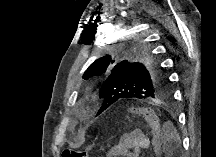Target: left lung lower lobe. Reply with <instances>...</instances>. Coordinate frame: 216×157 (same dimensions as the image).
Wrapping results in <instances>:
<instances>
[{"instance_id": "left-lung-lower-lobe-1", "label": "left lung lower lobe", "mask_w": 216, "mask_h": 157, "mask_svg": "<svg viewBox=\"0 0 216 157\" xmlns=\"http://www.w3.org/2000/svg\"><path fill=\"white\" fill-rule=\"evenodd\" d=\"M111 104V101L110 102H106V103H103L98 114H100L101 112H103L105 109H107Z\"/></svg>"}]
</instances>
